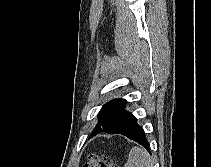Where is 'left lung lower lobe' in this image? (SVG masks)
<instances>
[{
    "label": "left lung lower lobe",
    "mask_w": 211,
    "mask_h": 167,
    "mask_svg": "<svg viewBox=\"0 0 211 167\" xmlns=\"http://www.w3.org/2000/svg\"><path fill=\"white\" fill-rule=\"evenodd\" d=\"M101 132L124 135L149 151L150 145L143 128L137 124V119L132 113L125 109L109 124L94 128L89 138Z\"/></svg>",
    "instance_id": "1"
}]
</instances>
